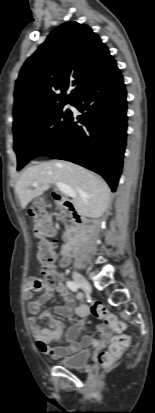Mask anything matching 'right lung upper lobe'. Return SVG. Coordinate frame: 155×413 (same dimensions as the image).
I'll return each mask as SVG.
<instances>
[{"mask_svg": "<svg viewBox=\"0 0 155 413\" xmlns=\"http://www.w3.org/2000/svg\"><path fill=\"white\" fill-rule=\"evenodd\" d=\"M115 67L108 48L89 26L77 22L58 26L21 68L15 86L13 124L72 103L82 89ZM69 84L73 90L66 95ZM57 90L62 93L56 94Z\"/></svg>", "mask_w": 155, "mask_h": 413, "instance_id": "cb5924a9", "label": "right lung upper lobe"}]
</instances>
